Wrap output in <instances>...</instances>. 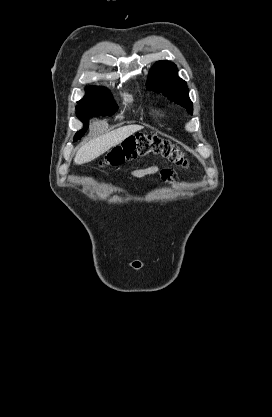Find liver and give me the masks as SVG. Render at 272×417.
Wrapping results in <instances>:
<instances>
[{"instance_id":"obj_1","label":"liver","mask_w":272,"mask_h":417,"mask_svg":"<svg viewBox=\"0 0 272 417\" xmlns=\"http://www.w3.org/2000/svg\"><path fill=\"white\" fill-rule=\"evenodd\" d=\"M141 129V125H127L92 139L78 150L74 162L77 165L91 162Z\"/></svg>"}]
</instances>
